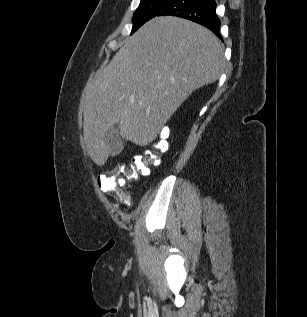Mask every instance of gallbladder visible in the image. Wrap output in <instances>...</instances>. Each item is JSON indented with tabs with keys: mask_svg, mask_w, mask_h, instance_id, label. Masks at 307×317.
<instances>
[{
	"mask_svg": "<svg viewBox=\"0 0 307 317\" xmlns=\"http://www.w3.org/2000/svg\"><path fill=\"white\" fill-rule=\"evenodd\" d=\"M107 140L109 141L110 155H118L123 149V142L118 132V123L115 124L107 133Z\"/></svg>",
	"mask_w": 307,
	"mask_h": 317,
	"instance_id": "1",
	"label": "gallbladder"
}]
</instances>
